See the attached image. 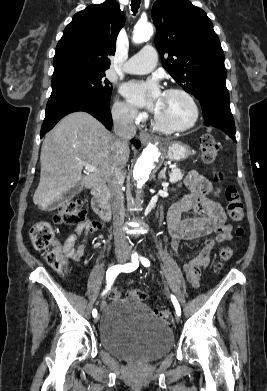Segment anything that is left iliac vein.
Instances as JSON below:
<instances>
[{
	"instance_id": "left-iliac-vein-1",
	"label": "left iliac vein",
	"mask_w": 267,
	"mask_h": 391,
	"mask_svg": "<svg viewBox=\"0 0 267 391\" xmlns=\"http://www.w3.org/2000/svg\"><path fill=\"white\" fill-rule=\"evenodd\" d=\"M180 318L178 315H176V321L179 322Z\"/></svg>"
}]
</instances>
